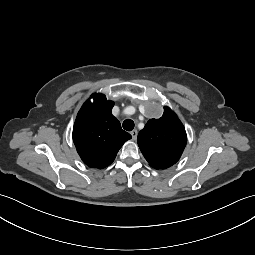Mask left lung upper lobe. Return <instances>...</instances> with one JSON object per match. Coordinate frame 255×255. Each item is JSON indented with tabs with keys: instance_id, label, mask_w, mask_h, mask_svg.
<instances>
[{
	"instance_id": "left-lung-upper-lobe-1",
	"label": "left lung upper lobe",
	"mask_w": 255,
	"mask_h": 255,
	"mask_svg": "<svg viewBox=\"0 0 255 255\" xmlns=\"http://www.w3.org/2000/svg\"><path fill=\"white\" fill-rule=\"evenodd\" d=\"M185 128L175 113L164 107L159 119H150L138 134V146L147 162L156 169H166L181 157L186 146Z\"/></svg>"
}]
</instances>
